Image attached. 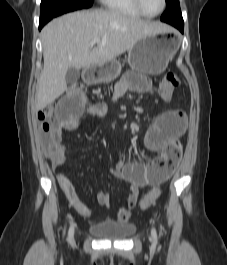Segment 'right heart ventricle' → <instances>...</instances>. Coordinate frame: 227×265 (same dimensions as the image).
Returning a JSON list of instances; mask_svg holds the SVG:
<instances>
[{
	"label": "right heart ventricle",
	"instance_id": "1",
	"mask_svg": "<svg viewBox=\"0 0 227 265\" xmlns=\"http://www.w3.org/2000/svg\"><path fill=\"white\" fill-rule=\"evenodd\" d=\"M104 7L112 12L130 17H141L133 0H101Z\"/></svg>",
	"mask_w": 227,
	"mask_h": 265
}]
</instances>
